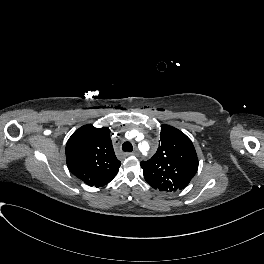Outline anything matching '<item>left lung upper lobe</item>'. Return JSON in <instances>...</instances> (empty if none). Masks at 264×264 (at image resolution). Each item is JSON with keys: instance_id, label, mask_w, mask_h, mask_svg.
Segmentation results:
<instances>
[{"instance_id": "left-lung-upper-lobe-1", "label": "left lung upper lobe", "mask_w": 264, "mask_h": 264, "mask_svg": "<svg viewBox=\"0 0 264 264\" xmlns=\"http://www.w3.org/2000/svg\"><path fill=\"white\" fill-rule=\"evenodd\" d=\"M147 183L160 191L184 189L198 169V157L191 140L180 130L162 125L155 155L140 163Z\"/></svg>"}]
</instances>
